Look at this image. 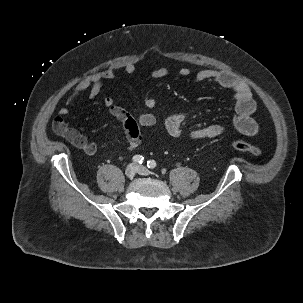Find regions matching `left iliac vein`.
Segmentation results:
<instances>
[{"instance_id": "left-iliac-vein-1", "label": "left iliac vein", "mask_w": 303, "mask_h": 303, "mask_svg": "<svg viewBox=\"0 0 303 303\" xmlns=\"http://www.w3.org/2000/svg\"><path fill=\"white\" fill-rule=\"evenodd\" d=\"M136 169H137V173L140 175H145V176L150 175V171L143 165L136 166Z\"/></svg>"}]
</instances>
